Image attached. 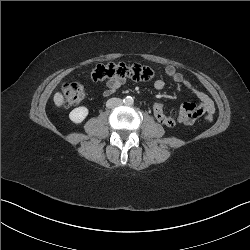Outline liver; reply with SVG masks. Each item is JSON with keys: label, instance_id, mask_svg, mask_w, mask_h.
Returning <instances> with one entry per match:
<instances>
[{"label": "liver", "instance_id": "1", "mask_svg": "<svg viewBox=\"0 0 250 250\" xmlns=\"http://www.w3.org/2000/svg\"><path fill=\"white\" fill-rule=\"evenodd\" d=\"M53 100L57 107H61L64 103V97L60 92L55 93Z\"/></svg>", "mask_w": 250, "mask_h": 250}]
</instances>
